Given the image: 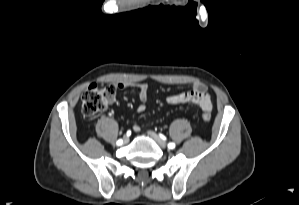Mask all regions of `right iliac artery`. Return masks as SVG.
<instances>
[{
    "mask_svg": "<svg viewBox=\"0 0 299 205\" xmlns=\"http://www.w3.org/2000/svg\"><path fill=\"white\" fill-rule=\"evenodd\" d=\"M122 144V139H119L118 141H117V145H121Z\"/></svg>",
    "mask_w": 299,
    "mask_h": 205,
    "instance_id": "82829eb1",
    "label": "right iliac artery"
}]
</instances>
